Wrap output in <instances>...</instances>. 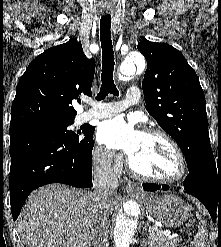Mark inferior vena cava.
<instances>
[{"mask_svg":"<svg viewBox=\"0 0 221 247\" xmlns=\"http://www.w3.org/2000/svg\"><path fill=\"white\" fill-rule=\"evenodd\" d=\"M112 158L113 154L106 152L94 167V190L90 195L95 212L99 217L93 229L92 244L94 247H105L108 202L119 184L117 175L111 166Z\"/></svg>","mask_w":221,"mask_h":247,"instance_id":"1","label":"inferior vena cava"}]
</instances>
